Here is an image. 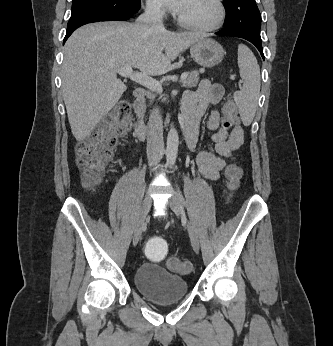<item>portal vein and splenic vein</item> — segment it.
Wrapping results in <instances>:
<instances>
[{"mask_svg":"<svg viewBox=\"0 0 333 346\" xmlns=\"http://www.w3.org/2000/svg\"><path fill=\"white\" fill-rule=\"evenodd\" d=\"M117 73L123 77L129 78L132 81L146 87L151 91H155L157 93H162V85L160 82L154 80L153 78L144 75L142 73H138L133 71L132 67H122L117 70ZM187 74L183 73L180 77V81L184 82L187 79Z\"/></svg>","mask_w":333,"mask_h":346,"instance_id":"portal-vein-and-splenic-vein-1","label":"portal vein and splenic vein"}]
</instances>
